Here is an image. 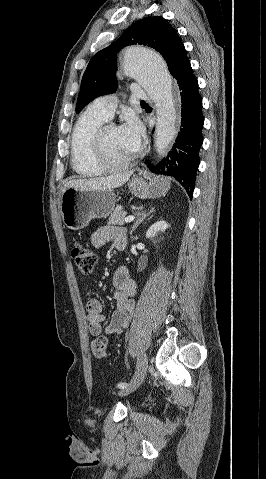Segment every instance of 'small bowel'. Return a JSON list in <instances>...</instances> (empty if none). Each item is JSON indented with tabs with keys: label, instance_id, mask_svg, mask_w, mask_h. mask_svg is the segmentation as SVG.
<instances>
[{
	"label": "small bowel",
	"instance_id": "c3829d8e",
	"mask_svg": "<svg viewBox=\"0 0 266 479\" xmlns=\"http://www.w3.org/2000/svg\"><path fill=\"white\" fill-rule=\"evenodd\" d=\"M91 244L100 248L111 242L117 250L125 249L127 238L123 227L103 226L94 230L90 237ZM137 284L130 277L127 267H119L113 275V293L116 307L111 314L109 324L103 327L105 321L104 309L98 299H89L86 304L88 329L91 335L102 334L119 338L129 325L134 314Z\"/></svg>",
	"mask_w": 266,
	"mask_h": 479
}]
</instances>
